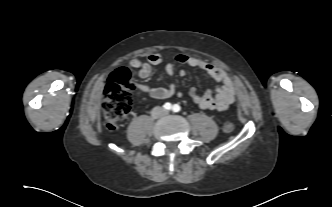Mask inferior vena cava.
<instances>
[{
    "mask_svg": "<svg viewBox=\"0 0 332 207\" xmlns=\"http://www.w3.org/2000/svg\"><path fill=\"white\" fill-rule=\"evenodd\" d=\"M164 114H165V110L159 106L154 107L151 111V115L153 118H158Z\"/></svg>",
    "mask_w": 332,
    "mask_h": 207,
    "instance_id": "602c4592",
    "label": "inferior vena cava"
}]
</instances>
